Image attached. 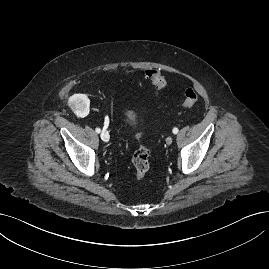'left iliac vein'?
I'll list each match as a JSON object with an SVG mask.
<instances>
[{
  "mask_svg": "<svg viewBox=\"0 0 269 269\" xmlns=\"http://www.w3.org/2000/svg\"><path fill=\"white\" fill-rule=\"evenodd\" d=\"M173 142L172 137H167L166 138V144L170 145Z\"/></svg>",
  "mask_w": 269,
  "mask_h": 269,
  "instance_id": "4c4485c4",
  "label": "left iliac vein"
}]
</instances>
